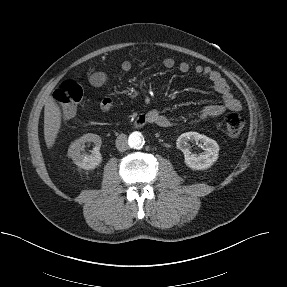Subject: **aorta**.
Returning <instances> with one entry per match:
<instances>
[{"mask_svg":"<svg viewBox=\"0 0 287 287\" xmlns=\"http://www.w3.org/2000/svg\"><path fill=\"white\" fill-rule=\"evenodd\" d=\"M128 144L131 148L140 149L144 144V138L140 132L130 134Z\"/></svg>","mask_w":287,"mask_h":287,"instance_id":"obj_1","label":"aorta"}]
</instances>
